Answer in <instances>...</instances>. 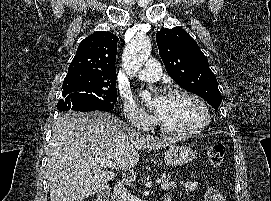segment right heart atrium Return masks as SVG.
Here are the masks:
<instances>
[{
  "label": "right heart atrium",
  "instance_id": "obj_1",
  "mask_svg": "<svg viewBox=\"0 0 271 201\" xmlns=\"http://www.w3.org/2000/svg\"><path fill=\"white\" fill-rule=\"evenodd\" d=\"M123 112L128 123L140 130H146L153 124V117L126 96L123 97Z\"/></svg>",
  "mask_w": 271,
  "mask_h": 201
}]
</instances>
